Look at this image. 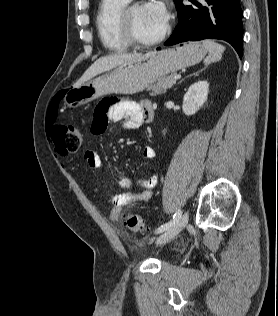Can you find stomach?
I'll return each instance as SVG.
<instances>
[{
	"label": "stomach",
	"instance_id": "obj_1",
	"mask_svg": "<svg viewBox=\"0 0 278 316\" xmlns=\"http://www.w3.org/2000/svg\"><path fill=\"white\" fill-rule=\"evenodd\" d=\"M206 53V48L200 43L158 51L68 90L63 96L64 104L77 108L104 95L141 92L156 80L199 63Z\"/></svg>",
	"mask_w": 278,
	"mask_h": 316
}]
</instances>
